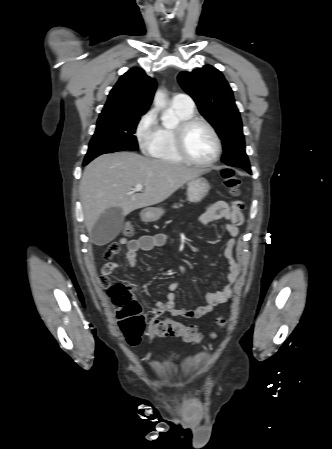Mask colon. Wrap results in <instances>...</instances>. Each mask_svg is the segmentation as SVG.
I'll return each instance as SVG.
<instances>
[{
	"label": "colon",
	"instance_id": "obj_1",
	"mask_svg": "<svg viewBox=\"0 0 332 449\" xmlns=\"http://www.w3.org/2000/svg\"><path fill=\"white\" fill-rule=\"evenodd\" d=\"M222 178L225 186L231 195L239 192L240 180L232 168L226 167L222 170ZM124 236L134 235L135 227L132 222H126L122 230ZM121 251V242L110 243L104 253L103 259L112 260ZM107 292L112 299L114 309L117 314L119 326L130 345H137L145 330V318L141 306L131 287L124 282H117L108 285ZM227 320L218 319V326L225 327ZM148 335L150 338H164L168 336L180 337L186 342H199L201 334L195 326H187L169 318L154 319L148 324ZM215 336V333L212 334Z\"/></svg>",
	"mask_w": 332,
	"mask_h": 449
}]
</instances>
